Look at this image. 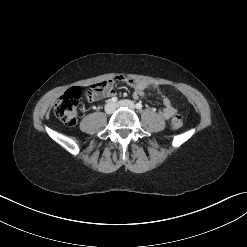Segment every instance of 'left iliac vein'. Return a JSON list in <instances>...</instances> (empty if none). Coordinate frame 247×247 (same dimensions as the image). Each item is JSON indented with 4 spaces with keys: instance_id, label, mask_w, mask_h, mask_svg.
<instances>
[{
    "instance_id": "obj_1",
    "label": "left iliac vein",
    "mask_w": 247,
    "mask_h": 247,
    "mask_svg": "<svg viewBox=\"0 0 247 247\" xmlns=\"http://www.w3.org/2000/svg\"><path fill=\"white\" fill-rule=\"evenodd\" d=\"M117 106L119 107H127V108H130L132 110L135 109V105L132 101L130 100H121L117 103Z\"/></svg>"
}]
</instances>
